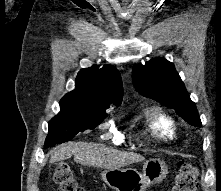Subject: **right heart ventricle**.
Segmentation results:
<instances>
[{
	"mask_svg": "<svg viewBox=\"0 0 221 191\" xmlns=\"http://www.w3.org/2000/svg\"><path fill=\"white\" fill-rule=\"evenodd\" d=\"M146 129L162 141H173L178 138L179 126L176 119L161 107H150L145 110Z\"/></svg>",
	"mask_w": 221,
	"mask_h": 191,
	"instance_id": "e07e8e85",
	"label": "right heart ventricle"
}]
</instances>
